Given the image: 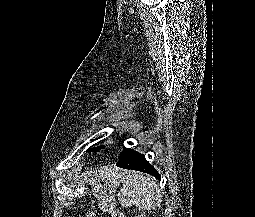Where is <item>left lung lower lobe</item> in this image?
<instances>
[{
  "instance_id": "1",
  "label": "left lung lower lobe",
  "mask_w": 255,
  "mask_h": 217,
  "mask_svg": "<svg viewBox=\"0 0 255 217\" xmlns=\"http://www.w3.org/2000/svg\"><path fill=\"white\" fill-rule=\"evenodd\" d=\"M117 166L125 169L145 172L157 179H161L158 172L146 161L142 154L126 147H123V150L120 153Z\"/></svg>"
}]
</instances>
